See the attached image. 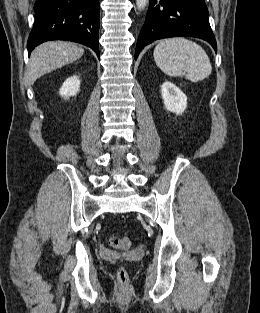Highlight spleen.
Returning a JSON list of instances; mask_svg holds the SVG:
<instances>
[{
  "mask_svg": "<svg viewBox=\"0 0 260 313\" xmlns=\"http://www.w3.org/2000/svg\"><path fill=\"white\" fill-rule=\"evenodd\" d=\"M156 65L168 76L183 77L193 83L212 72L210 59L197 43L184 37L160 41L153 52Z\"/></svg>",
  "mask_w": 260,
  "mask_h": 313,
  "instance_id": "1",
  "label": "spleen"
}]
</instances>
